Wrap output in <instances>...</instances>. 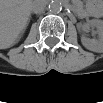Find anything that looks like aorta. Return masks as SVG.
I'll return each mask as SVG.
<instances>
[{
    "mask_svg": "<svg viewBox=\"0 0 103 103\" xmlns=\"http://www.w3.org/2000/svg\"><path fill=\"white\" fill-rule=\"evenodd\" d=\"M49 10L52 13H58L62 10V4L59 0H52L49 3Z\"/></svg>",
    "mask_w": 103,
    "mask_h": 103,
    "instance_id": "obj_1",
    "label": "aorta"
}]
</instances>
